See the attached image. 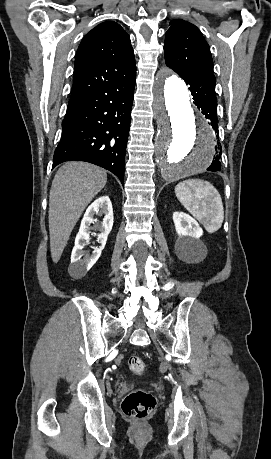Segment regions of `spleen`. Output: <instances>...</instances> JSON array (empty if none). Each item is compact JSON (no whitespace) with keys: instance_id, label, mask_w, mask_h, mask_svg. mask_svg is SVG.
<instances>
[{"instance_id":"1","label":"spleen","mask_w":271,"mask_h":459,"mask_svg":"<svg viewBox=\"0 0 271 459\" xmlns=\"http://www.w3.org/2000/svg\"><path fill=\"white\" fill-rule=\"evenodd\" d=\"M176 198L203 224L208 233L221 228L224 210L219 192L204 180H185L175 186Z\"/></svg>"}]
</instances>
